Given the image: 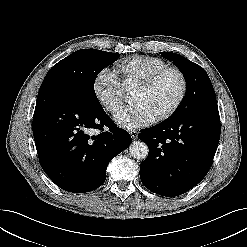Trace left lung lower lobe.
Here are the masks:
<instances>
[{"instance_id":"1","label":"left lung lower lobe","mask_w":247,"mask_h":247,"mask_svg":"<svg viewBox=\"0 0 247 247\" xmlns=\"http://www.w3.org/2000/svg\"><path fill=\"white\" fill-rule=\"evenodd\" d=\"M220 132L218 107L185 112L141 130L138 137L149 147L140 164L143 185L169 197L193 188L209 171Z\"/></svg>"}]
</instances>
